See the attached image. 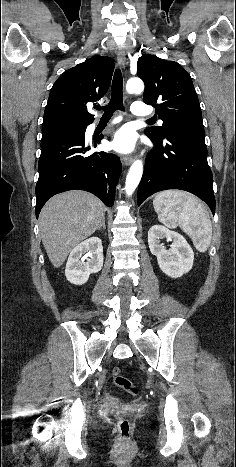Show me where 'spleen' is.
<instances>
[{
    "label": "spleen",
    "mask_w": 236,
    "mask_h": 467,
    "mask_svg": "<svg viewBox=\"0 0 236 467\" xmlns=\"http://www.w3.org/2000/svg\"><path fill=\"white\" fill-rule=\"evenodd\" d=\"M153 206L158 219L168 228L179 226L199 252H206L212 240V224L204 205L193 195L166 190L158 193Z\"/></svg>",
    "instance_id": "spleen-1"
}]
</instances>
